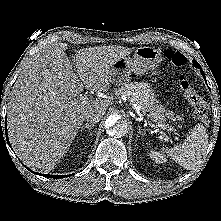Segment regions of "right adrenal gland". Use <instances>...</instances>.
I'll list each match as a JSON object with an SVG mask.
<instances>
[{
  "mask_svg": "<svg viewBox=\"0 0 221 221\" xmlns=\"http://www.w3.org/2000/svg\"><path fill=\"white\" fill-rule=\"evenodd\" d=\"M94 126V124L86 123L85 125L81 126L80 132L82 133L85 128H87L90 131Z\"/></svg>",
  "mask_w": 221,
  "mask_h": 221,
  "instance_id": "2a0ac1e0",
  "label": "right adrenal gland"
}]
</instances>
